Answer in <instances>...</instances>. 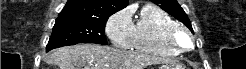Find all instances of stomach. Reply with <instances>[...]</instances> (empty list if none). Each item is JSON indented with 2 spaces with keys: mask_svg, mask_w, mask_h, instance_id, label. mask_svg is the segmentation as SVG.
<instances>
[{
  "mask_svg": "<svg viewBox=\"0 0 246 69\" xmlns=\"http://www.w3.org/2000/svg\"><path fill=\"white\" fill-rule=\"evenodd\" d=\"M158 69H186V68L180 64L166 63L160 66Z\"/></svg>",
  "mask_w": 246,
  "mask_h": 69,
  "instance_id": "obj_1",
  "label": "stomach"
}]
</instances>
